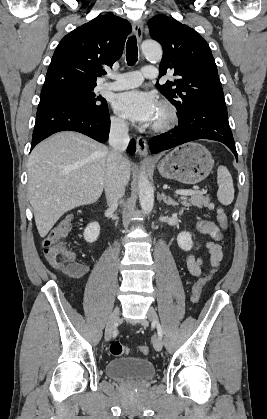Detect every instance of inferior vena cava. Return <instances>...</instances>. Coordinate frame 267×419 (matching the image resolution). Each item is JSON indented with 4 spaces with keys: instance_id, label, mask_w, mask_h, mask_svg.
Masks as SVG:
<instances>
[{
    "instance_id": "inferior-vena-cava-1",
    "label": "inferior vena cava",
    "mask_w": 267,
    "mask_h": 419,
    "mask_svg": "<svg viewBox=\"0 0 267 419\" xmlns=\"http://www.w3.org/2000/svg\"><path fill=\"white\" fill-rule=\"evenodd\" d=\"M128 124L124 120H114L111 123L109 144L111 150L107 156V170L104 180V189L107 204L110 209H116L119 200L124 196L127 184L123 171L122 153L129 143Z\"/></svg>"
}]
</instances>
